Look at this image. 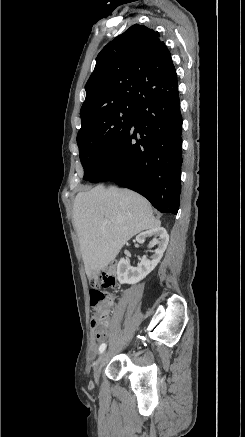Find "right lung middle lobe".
Segmentation results:
<instances>
[{"label":"right lung middle lobe","mask_w":245,"mask_h":437,"mask_svg":"<svg viewBox=\"0 0 245 437\" xmlns=\"http://www.w3.org/2000/svg\"><path fill=\"white\" fill-rule=\"evenodd\" d=\"M135 105L106 107L82 123L77 135L80 161L87 179L110 155L131 123Z\"/></svg>","instance_id":"obj_1"}]
</instances>
